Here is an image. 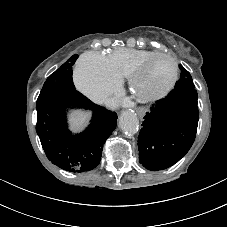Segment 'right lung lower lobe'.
I'll use <instances>...</instances> for the list:
<instances>
[{"label": "right lung lower lobe", "mask_w": 227, "mask_h": 227, "mask_svg": "<svg viewBox=\"0 0 227 227\" xmlns=\"http://www.w3.org/2000/svg\"><path fill=\"white\" fill-rule=\"evenodd\" d=\"M67 107L89 109L93 117L88 128L73 135L67 128ZM36 131L48 159L70 172L94 169L101 160L103 144L117 125V115L91 102L76 89L46 88L36 103Z\"/></svg>", "instance_id": "obj_1"}]
</instances>
